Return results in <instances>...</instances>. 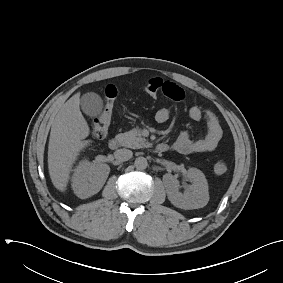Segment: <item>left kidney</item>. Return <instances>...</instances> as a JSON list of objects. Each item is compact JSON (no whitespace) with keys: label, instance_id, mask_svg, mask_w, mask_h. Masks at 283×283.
Masks as SVG:
<instances>
[{"label":"left kidney","instance_id":"obj_1","mask_svg":"<svg viewBox=\"0 0 283 283\" xmlns=\"http://www.w3.org/2000/svg\"><path fill=\"white\" fill-rule=\"evenodd\" d=\"M185 174L192 181V185L184 193L179 192L180 185L177 179L168 174L164 176L169 201L174 206L185 210L206 206L209 201V192L205 175L196 168L188 169Z\"/></svg>","mask_w":283,"mask_h":283}]
</instances>
